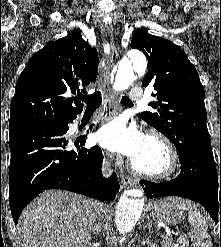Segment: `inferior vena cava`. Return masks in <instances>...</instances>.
Segmentation results:
<instances>
[{
  "mask_svg": "<svg viewBox=\"0 0 221 247\" xmlns=\"http://www.w3.org/2000/svg\"><path fill=\"white\" fill-rule=\"evenodd\" d=\"M104 173H105V175H108V173H109V165L108 164H105ZM103 216L104 215L102 214V212L99 209H96V211L93 214V224H94L93 231L97 234L99 233V228L102 224Z\"/></svg>",
  "mask_w": 221,
  "mask_h": 247,
  "instance_id": "1",
  "label": "inferior vena cava"
}]
</instances>
